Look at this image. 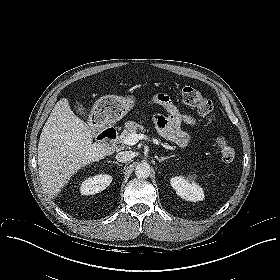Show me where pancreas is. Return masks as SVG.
I'll use <instances>...</instances> for the list:
<instances>
[{
  "mask_svg": "<svg viewBox=\"0 0 280 280\" xmlns=\"http://www.w3.org/2000/svg\"><path fill=\"white\" fill-rule=\"evenodd\" d=\"M137 131L144 132L145 129H144L143 125L138 124V123H136V122H134V121H127V122L125 123V129H124V131H123V132L121 133V135L119 136V140H120L121 142H123V139H124L126 136L130 135L131 133H136Z\"/></svg>",
  "mask_w": 280,
  "mask_h": 280,
  "instance_id": "cf45deb5",
  "label": "pancreas"
}]
</instances>
